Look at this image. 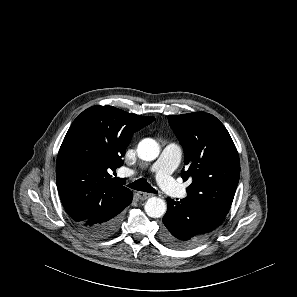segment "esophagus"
<instances>
[{
    "instance_id": "obj_1",
    "label": "esophagus",
    "mask_w": 297,
    "mask_h": 297,
    "mask_svg": "<svg viewBox=\"0 0 297 297\" xmlns=\"http://www.w3.org/2000/svg\"><path fill=\"white\" fill-rule=\"evenodd\" d=\"M136 196L138 197L139 200H146L152 196L150 193H145V192H137Z\"/></svg>"
}]
</instances>
